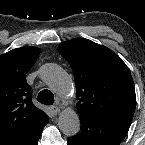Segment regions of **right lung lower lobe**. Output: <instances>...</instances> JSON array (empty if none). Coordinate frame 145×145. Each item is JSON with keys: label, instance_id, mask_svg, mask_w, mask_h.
Masks as SVG:
<instances>
[{"label": "right lung lower lobe", "instance_id": "1", "mask_svg": "<svg viewBox=\"0 0 145 145\" xmlns=\"http://www.w3.org/2000/svg\"><path fill=\"white\" fill-rule=\"evenodd\" d=\"M48 121L49 119L46 120L41 126L32 130L26 131L17 139L12 141L9 145H38V140L40 138L42 129L48 123Z\"/></svg>", "mask_w": 145, "mask_h": 145}]
</instances>
